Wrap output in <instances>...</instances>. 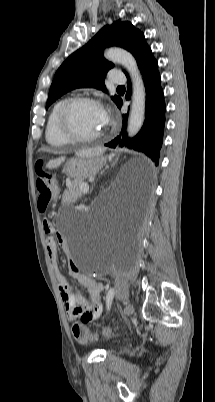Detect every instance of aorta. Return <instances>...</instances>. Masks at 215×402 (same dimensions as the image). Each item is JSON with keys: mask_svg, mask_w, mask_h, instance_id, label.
Listing matches in <instances>:
<instances>
[{"mask_svg": "<svg viewBox=\"0 0 215 402\" xmlns=\"http://www.w3.org/2000/svg\"><path fill=\"white\" fill-rule=\"evenodd\" d=\"M104 56L107 60L122 65L131 77L132 104L127 132L130 137H133L140 131L145 120L146 92L142 76L136 60L129 52L121 48H110L105 51Z\"/></svg>", "mask_w": 215, "mask_h": 402, "instance_id": "762f6f07", "label": "aorta"}]
</instances>
